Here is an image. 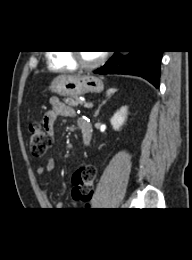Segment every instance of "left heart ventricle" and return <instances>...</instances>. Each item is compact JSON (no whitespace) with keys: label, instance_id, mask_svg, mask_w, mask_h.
Returning <instances> with one entry per match:
<instances>
[{"label":"left heart ventricle","instance_id":"obj_1","mask_svg":"<svg viewBox=\"0 0 192 260\" xmlns=\"http://www.w3.org/2000/svg\"><path fill=\"white\" fill-rule=\"evenodd\" d=\"M101 53L96 51H82L81 57L85 62L91 63L100 57Z\"/></svg>","mask_w":192,"mask_h":260}]
</instances>
